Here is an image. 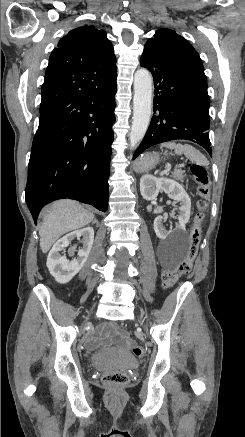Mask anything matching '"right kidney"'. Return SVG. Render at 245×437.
<instances>
[{"label": "right kidney", "mask_w": 245, "mask_h": 437, "mask_svg": "<svg viewBox=\"0 0 245 437\" xmlns=\"http://www.w3.org/2000/svg\"><path fill=\"white\" fill-rule=\"evenodd\" d=\"M83 237V247L77 251V257L69 261L66 256H62L60 252L69 246L71 240ZM94 240V230L92 227H86L80 230H75L60 240H58L47 257V267L50 274L58 283L69 282L84 266L89 253L91 251ZM76 247H71L68 250L70 256H74Z\"/></svg>", "instance_id": "right-kidney-1"}]
</instances>
